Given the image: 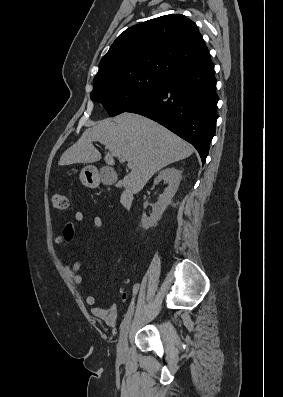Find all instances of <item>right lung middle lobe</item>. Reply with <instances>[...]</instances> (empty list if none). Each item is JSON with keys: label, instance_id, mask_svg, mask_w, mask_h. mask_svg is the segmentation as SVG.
<instances>
[{"label": "right lung middle lobe", "instance_id": "obj_1", "mask_svg": "<svg viewBox=\"0 0 283 397\" xmlns=\"http://www.w3.org/2000/svg\"><path fill=\"white\" fill-rule=\"evenodd\" d=\"M163 82L146 75L97 81L90 98L101 103L110 116H116L154 94Z\"/></svg>", "mask_w": 283, "mask_h": 397}]
</instances>
